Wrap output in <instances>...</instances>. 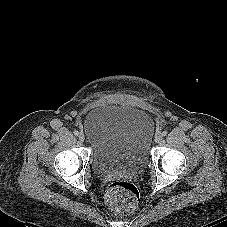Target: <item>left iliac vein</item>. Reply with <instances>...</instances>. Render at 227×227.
<instances>
[{"instance_id":"1","label":"left iliac vein","mask_w":227,"mask_h":227,"mask_svg":"<svg viewBox=\"0 0 227 227\" xmlns=\"http://www.w3.org/2000/svg\"><path fill=\"white\" fill-rule=\"evenodd\" d=\"M162 138H163V134L162 133H160V132L156 133L155 142H157V143L161 142Z\"/></svg>"}]
</instances>
